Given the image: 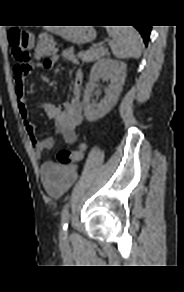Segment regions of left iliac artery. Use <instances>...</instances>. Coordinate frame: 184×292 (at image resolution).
Returning <instances> with one entry per match:
<instances>
[{
  "instance_id": "44dca946",
  "label": "left iliac artery",
  "mask_w": 184,
  "mask_h": 292,
  "mask_svg": "<svg viewBox=\"0 0 184 292\" xmlns=\"http://www.w3.org/2000/svg\"><path fill=\"white\" fill-rule=\"evenodd\" d=\"M61 222H62V228L63 231L66 232L68 228V222H69V211L67 207H64L61 213Z\"/></svg>"
}]
</instances>
